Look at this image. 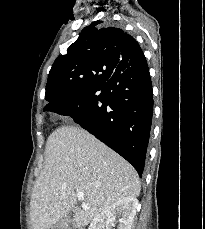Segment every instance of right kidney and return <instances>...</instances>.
I'll use <instances>...</instances> for the list:
<instances>
[{
  "mask_svg": "<svg viewBox=\"0 0 205 229\" xmlns=\"http://www.w3.org/2000/svg\"><path fill=\"white\" fill-rule=\"evenodd\" d=\"M138 205L134 197L120 199L95 217L88 229H111L116 219L117 229H131Z\"/></svg>",
  "mask_w": 205,
  "mask_h": 229,
  "instance_id": "right-kidney-1",
  "label": "right kidney"
}]
</instances>
